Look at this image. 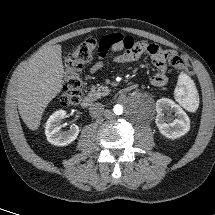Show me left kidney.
I'll return each mask as SVG.
<instances>
[{"mask_svg": "<svg viewBox=\"0 0 215 215\" xmlns=\"http://www.w3.org/2000/svg\"><path fill=\"white\" fill-rule=\"evenodd\" d=\"M157 116L155 123L162 135L169 139L179 138L190 130V120L186 112L173 100L161 98L156 102ZM174 112L175 119L170 117ZM166 114V115H165Z\"/></svg>", "mask_w": 215, "mask_h": 215, "instance_id": "left-kidney-1", "label": "left kidney"}]
</instances>
